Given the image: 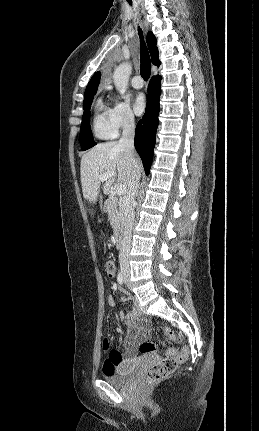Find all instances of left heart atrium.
I'll return each instance as SVG.
<instances>
[{
  "label": "left heart atrium",
  "instance_id": "left-heart-atrium-1",
  "mask_svg": "<svg viewBox=\"0 0 259 431\" xmlns=\"http://www.w3.org/2000/svg\"><path fill=\"white\" fill-rule=\"evenodd\" d=\"M133 109L137 115H141L144 113L146 109V99L143 94L139 93L134 97Z\"/></svg>",
  "mask_w": 259,
  "mask_h": 431
}]
</instances>
